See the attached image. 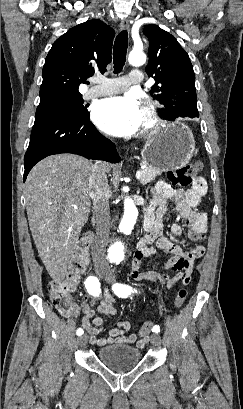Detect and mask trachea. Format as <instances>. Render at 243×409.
I'll list each match as a JSON object with an SVG mask.
<instances>
[{
	"mask_svg": "<svg viewBox=\"0 0 243 409\" xmlns=\"http://www.w3.org/2000/svg\"><path fill=\"white\" fill-rule=\"evenodd\" d=\"M128 46V35L127 31H121L115 40L113 49V60H114V72L118 73L122 70L125 61Z\"/></svg>",
	"mask_w": 243,
	"mask_h": 409,
	"instance_id": "1",
	"label": "trachea"
}]
</instances>
